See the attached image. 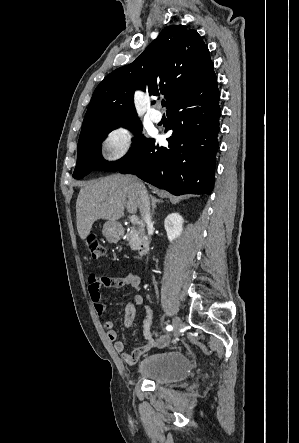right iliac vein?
<instances>
[{
    "label": "right iliac vein",
    "instance_id": "obj_1",
    "mask_svg": "<svg viewBox=\"0 0 299 443\" xmlns=\"http://www.w3.org/2000/svg\"><path fill=\"white\" fill-rule=\"evenodd\" d=\"M172 323L174 327V335L177 337L180 334L183 323L179 317H174Z\"/></svg>",
    "mask_w": 299,
    "mask_h": 443
}]
</instances>
